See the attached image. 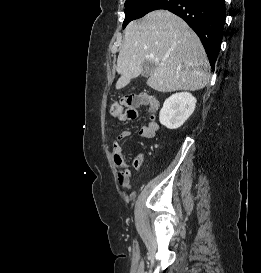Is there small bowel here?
Masks as SVG:
<instances>
[{
	"instance_id": "obj_1",
	"label": "small bowel",
	"mask_w": 261,
	"mask_h": 273,
	"mask_svg": "<svg viewBox=\"0 0 261 273\" xmlns=\"http://www.w3.org/2000/svg\"><path fill=\"white\" fill-rule=\"evenodd\" d=\"M146 105L148 106L150 112L154 114L159 109V101L150 95H141V102L139 105ZM118 120L121 122H126L129 119L126 116H120L118 117ZM159 130V124L157 121L154 120V117H151V121L143 126L140 130V136L145 139H151L156 136V133ZM131 135V132L129 130H123L117 137L116 141L113 144V157H115L116 153H120L123 157V162L121 164L115 163L122 168V170L118 173V183L120 186L124 188H128L130 184V179L132 177V173L130 171V168H140V166L143 163L144 156L141 152H138L132 159H126L122 154V147L120 145V141L129 138Z\"/></svg>"
}]
</instances>
